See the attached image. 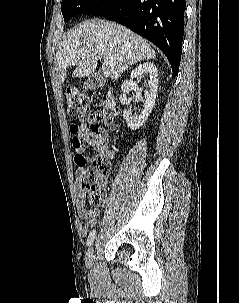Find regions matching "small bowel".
I'll return each mask as SVG.
<instances>
[{"label":"small bowel","instance_id":"c3829d8e","mask_svg":"<svg viewBox=\"0 0 239 303\" xmlns=\"http://www.w3.org/2000/svg\"><path fill=\"white\" fill-rule=\"evenodd\" d=\"M71 144L75 150V163L77 165L76 177L80 180L82 173L86 170V166L95 163L98 160L105 159L111 161L114 153L109 146V136L107 132L96 124L87 125L81 123L73 124L70 127ZM92 149L94 154L87 156L86 151ZM77 211L83 220L90 224L94 223L99 211L91 209L85 204L84 196L81 191L76 192Z\"/></svg>","mask_w":239,"mask_h":303}]
</instances>
